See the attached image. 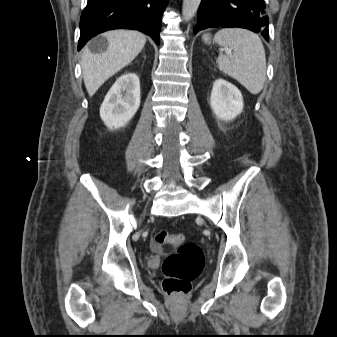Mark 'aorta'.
<instances>
[{"label":"aorta","mask_w":337,"mask_h":337,"mask_svg":"<svg viewBox=\"0 0 337 337\" xmlns=\"http://www.w3.org/2000/svg\"><path fill=\"white\" fill-rule=\"evenodd\" d=\"M201 0H183L182 15L185 21L193 18L198 10Z\"/></svg>","instance_id":"obj_1"}]
</instances>
